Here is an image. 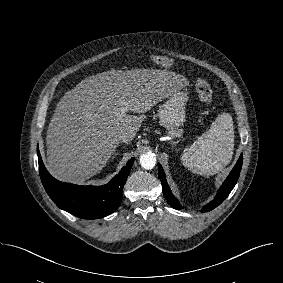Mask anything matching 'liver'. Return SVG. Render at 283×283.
Here are the masks:
<instances>
[{"instance_id":"obj_1","label":"liver","mask_w":283,"mask_h":283,"mask_svg":"<svg viewBox=\"0 0 283 283\" xmlns=\"http://www.w3.org/2000/svg\"><path fill=\"white\" fill-rule=\"evenodd\" d=\"M180 74L166 70H109L85 78L58 102L49 123L47 170L60 181L84 183L107 164L114 138L126 135L130 143L143 117L125 114L121 106L142 114L186 86Z\"/></svg>"}]
</instances>
